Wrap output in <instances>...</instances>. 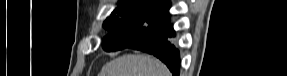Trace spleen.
Masks as SVG:
<instances>
[{"mask_svg": "<svg viewBox=\"0 0 287 76\" xmlns=\"http://www.w3.org/2000/svg\"><path fill=\"white\" fill-rule=\"evenodd\" d=\"M102 76H170V71L158 59L127 54L107 63L101 71Z\"/></svg>", "mask_w": 287, "mask_h": 76, "instance_id": "1", "label": "spleen"}]
</instances>
